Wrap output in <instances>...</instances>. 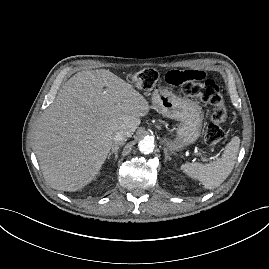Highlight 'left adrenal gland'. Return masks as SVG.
I'll return each mask as SVG.
<instances>
[{
    "mask_svg": "<svg viewBox=\"0 0 269 269\" xmlns=\"http://www.w3.org/2000/svg\"><path fill=\"white\" fill-rule=\"evenodd\" d=\"M164 154H165V161L171 160V157L168 155L166 149H164Z\"/></svg>",
    "mask_w": 269,
    "mask_h": 269,
    "instance_id": "a2214340",
    "label": "left adrenal gland"
}]
</instances>
